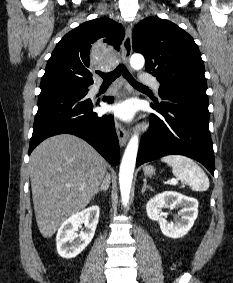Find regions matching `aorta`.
Masks as SVG:
<instances>
[{
	"label": "aorta",
	"mask_w": 233,
	"mask_h": 283,
	"mask_svg": "<svg viewBox=\"0 0 233 283\" xmlns=\"http://www.w3.org/2000/svg\"><path fill=\"white\" fill-rule=\"evenodd\" d=\"M145 59L141 54H133L130 59L131 67L139 70L144 66ZM139 139L138 135H134L128 142L125 149L119 171V185L121 192L122 204L127 206L129 202L133 173L138 153Z\"/></svg>",
	"instance_id": "1"
}]
</instances>
